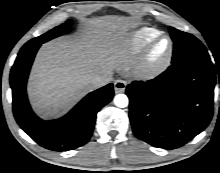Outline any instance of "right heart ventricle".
Wrapping results in <instances>:
<instances>
[{
	"mask_svg": "<svg viewBox=\"0 0 220 173\" xmlns=\"http://www.w3.org/2000/svg\"><path fill=\"white\" fill-rule=\"evenodd\" d=\"M159 35L160 32L152 27H141L132 32L118 49L117 55L120 61L124 64L132 62L141 50Z\"/></svg>",
	"mask_w": 220,
	"mask_h": 173,
	"instance_id": "1",
	"label": "right heart ventricle"
}]
</instances>
